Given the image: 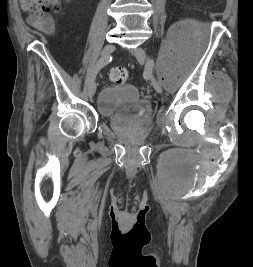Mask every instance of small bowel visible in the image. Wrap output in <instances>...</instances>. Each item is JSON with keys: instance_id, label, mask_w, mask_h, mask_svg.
Here are the masks:
<instances>
[{"instance_id": "obj_1", "label": "small bowel", "mask_w": 253, "mask_h": 267, "mask_svg": "<svg viewBox=\"0 0 253 267\" xmlns=\"http://www.w3.org/2000/svg\"><path fill=\"white\" fill-rule=\"evenodd\" d=\"M28 23L36 30L44 33L47 36H53L55 33V25L51 15H30L28 17Z\"/></svg>"}]
</instances>
